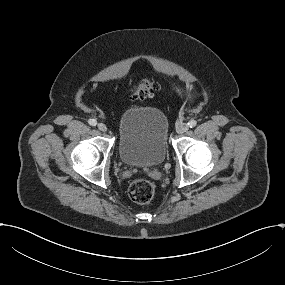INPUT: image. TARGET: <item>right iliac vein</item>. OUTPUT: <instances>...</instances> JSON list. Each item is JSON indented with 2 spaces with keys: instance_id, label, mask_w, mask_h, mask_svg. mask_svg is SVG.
Listing matches in <instances>:
<instances>
[{
  "instance_id": "right-iliac-vein-1",
  "label": "right iliac vein",
  "mask_w": 285,
  "mask_h": 285,
  "mask_svg": "<svg viewBox=\"0 0 285 285\" xmlns=\"http://www.w3.org/2000/svg\"><path fill=\"white\" fill-rule=\"evenodd\" d=\"M97 127H98V129H99L100 131H102V132L107 131V126H106L104 123H99V124L97 125Z\"/></svg>"
}]
</instances>
